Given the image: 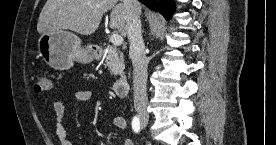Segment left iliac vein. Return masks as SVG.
Wrapping results in <instances>:
<instances>
[{
	"label": "left iliac vein",
	"instance_id": "4c4485c4",
	"mask_svg": "<svg viewBox=\"0 0 276 145\" xmlns=\"http://www.w3.org/2000/svg\"><path fill=\"white\" fill-rule=\"evenodd\" d=\"M146 126V122H143L142 123V128Z\"/></svg>",
	"mask_w": 276,
	"mask_h": 145
}]
</instances>
